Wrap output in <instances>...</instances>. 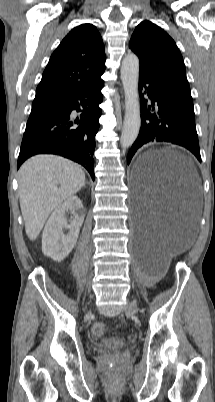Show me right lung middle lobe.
<instances>
[{
	"mask_svg": "<svg viewBox=\"0 0 215 402\" xmlns=\"http://www.w3.org/2000/svg\"><path fill=\"white\" fill-rule=\"evenodd\" d=\"M59 105V102H37L32 104V110L27 122V125L33 124L38 119L44 117L48 113L55 110Z\"/></svg>",
	"mask_w": 215,
	"mask_h": 402,
	"instance_id": "dd1d6c3e",
	"label": "right lung middle lobe"
}]
</instances>
